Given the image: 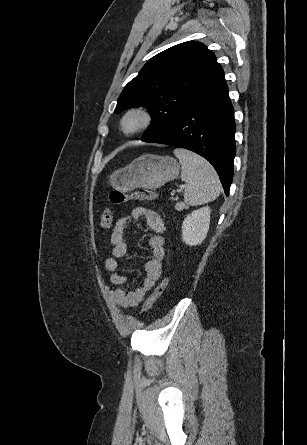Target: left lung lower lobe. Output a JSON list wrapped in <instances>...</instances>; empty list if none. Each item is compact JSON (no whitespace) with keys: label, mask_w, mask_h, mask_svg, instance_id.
<instances>
[{"label":"left lung lower lobe","mask_w":307,"mask_h":445,"mask_svg":"<svg viewBox=\"0 0 307 445\" xmlns=\"http://www.w3.org/2000/svg\"><path fill=\"white\" fill-rule=\"evenodd\" d=\"M234 134V110L224 81L144 141L185 148L203 156L216 169L228 196L236 152Z\"/></svg>","instance_id":"left-lung-lower-lobe-1"}]
</instances>
